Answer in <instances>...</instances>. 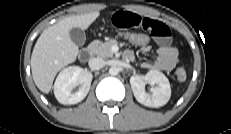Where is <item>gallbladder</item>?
Returning a JSON list of instances; mask_svg holds the SVG:
<instances>
[{
	"label": "gallbladder",
	"mask_w": 231,
	"mask_h": 134,
	"mask_svg": "<svg viewBox=\"0 0 231 134\" xmlns=\"http://www.w3.org/2000/svg\"><path fill=\"white\" fill-rule=\"evenodd\" d=\"M71 40L77 46H83L86 41L85 32L80 28H72L69 32Z\"/></svg>",
	"instance_id": "1"
}]
</instances>
